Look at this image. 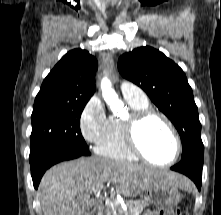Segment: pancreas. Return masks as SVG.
<instances>
[{"mask_svg": "<svg viewBox=\"0 0 221 215\" xmlns=\"http://www.w3.org/2000/svg\"><path fill=\"white\" fill-rule=\"evenodd\" d=\"M148 205L149 203L143 200H130L126 202V210L119 205H115L114 208L107 207L105 213L106 215H118L116 213V211H118L119 215H140L143 209Z\"/></svg>", "mask_w": 221, "mask_h": 215, "instance_id": "1", "label": "pancreas"}]
</instances>
